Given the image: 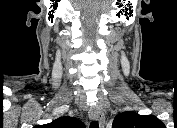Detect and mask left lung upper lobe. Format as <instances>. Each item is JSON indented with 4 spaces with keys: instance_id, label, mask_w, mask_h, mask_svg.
Instances as JSON below:
<instances>
[{
    "instance_id": "left-lung-upper-lobe-1",
    "label": "left lung upper lobe",
    "mask_w": 177,
    "mask_h": 128,
    "mask_svg": "<svg viewBox=\"0 0 177 128\" xmlns=\"http://www.w3.org/2000/svg\"><path fill=\"white\" fill-rule=\"evenodd\" d=\"M163 123L154 115H139L133 111L118 114L112 128H161Z\"/></svg>"
}]
</instances>
